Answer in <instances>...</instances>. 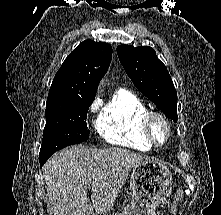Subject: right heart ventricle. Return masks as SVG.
Masks as SVG:
<instances>
[{
  "mask_svg": "<svg viewBox=\"0 0 221 215\" xmlns=\"http://www.w3.org/2000/svg\"><path fill=\"white\" fill-rule=\"evenodd\" d=\"M147 111V106L138 96L120 89L100 114L97 130L110 144L149 151L153 145L142 129V119Z\"/></svg>",
  "mask_w": 221,
  "mask_h": 215,
  "instance_id": "1",
  "label": "right heart ventricle"
}]
</instances>
